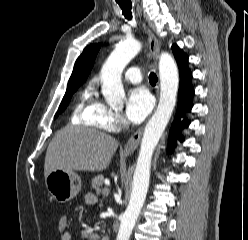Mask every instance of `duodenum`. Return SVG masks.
Listing matches in <instances>:
<instances>
[{
    "label": "duodenum",
    "instance_id": "1",
    "mask_svg": "<svg viewBox=\"0 0 248 240\" xmlns=\"http://www.w3.org/2000/svg\"><path fill=\"white\" fill-rule=\"evenodd\" d=\"M99 240H110V237L107 235H103L99 238Z\"/></svg>",
    "mask_w": 248,
    "mask_h": 240
}]
</instances>
